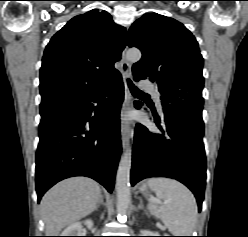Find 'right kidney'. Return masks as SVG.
Listing matches in <instances>:
<instances>
[{
	"label": "right kidney",
	"instance_id": "1",
	"mask_svg": "<svg viewBox=\"0 0 248 237\" xmlns=\"http://www.w3.org/2000/svg\"><path fill=\"white\" fill-rule=\"evenodd\" d=\"M89 229L93 227V221L87 219L83 222ZM82 222H75L69 225L60 236H82Z\"/></svg>",
	"mask_w": 248,
	"mask_h": 237
}]
</instances>
